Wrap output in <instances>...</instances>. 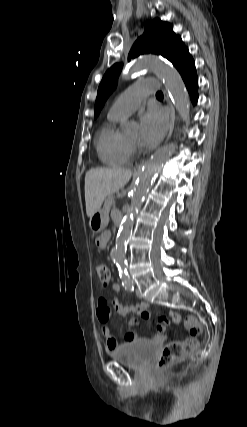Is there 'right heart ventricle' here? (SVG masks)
Wrapping results in <instances>:
<instances>
[{
	"instance_id": "e07e8e85",
	"label": "right heart ventricle",
	"mask_w": 247,
	"mask_h": 427,
	"mask_svg": "<svg viewBox=\"0 0 247 427\" xmlns=\"http://www.w3.org/2000/svg\"><path fill=\"white\" fill-rule=\"evenodd\" d=\"M119 118L109 117L100 128L96 140V150L101 162L107 166H121L131 159V150L126 140L119 134L116 124Z\"/></svg>"
}]
</instances>
